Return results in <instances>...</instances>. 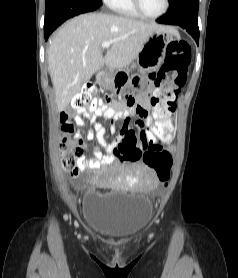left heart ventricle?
Masks as SVG:
<instances>
[{
    "mask_svg": "<svg viewBox=\"0 0 238 278\" xmlns=\"http://www.w3.org/2000/svg\"><path fill=\"white\" fill-rule=\"evenodd\" d=\"M143 10L150 16L159 15L164 9V0H140Z\"/></svg>",
    "mask_w": 238,
    "mask_h": 278,
    "instance_id": "left-heart-ventricle-1",
    "label": "left heart ventricle"
}]
</instances>
